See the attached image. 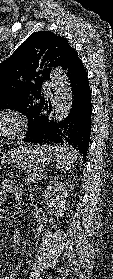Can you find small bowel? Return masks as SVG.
<instances>
[{
	"mask_svg": "<svg viewBox=\"0 0 113 279\" xmlns=\"http://www.w3.org/2000/svg\"><path fill=\"white\" fill-rule=\"evenodd\" d=\"M5 192L13 194L16 198L20 196V190L18 186L12 181H5L0 189V208L1 203L4 201ZM21 238L19 236L14 237V246L17 248L20 245ZM3 279H16V272L7 273Z\"/></svg>",
	"mask_w": 113,
	"mask_h": 279,
	"instance_id": "obj_1",
	"label": "small bowel"
}]
</instances>
